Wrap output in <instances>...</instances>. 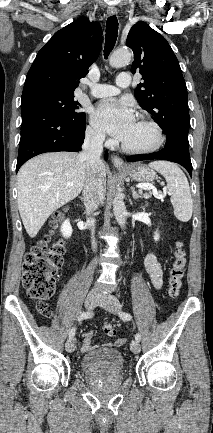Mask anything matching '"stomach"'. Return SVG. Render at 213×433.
I'll return each instance as SVG.
<instances>
[{
  "mask_svg": "<svg viewBox=\"0 0 213 433\" xmlns=\"http://www.w3.org/2000/svg\"><path fill=\"white\" fill-rule=\"evenodd\" d=\"M120 170L124 171L133 180L139 182H152L156 177V174L152 169L142 164L128 165Z\"/></svg>",
  "mask_w": 213,
  "mask_h": 433,
  "instance_id": "obj_1",
  "label": "stomach"
}]
</instances>
